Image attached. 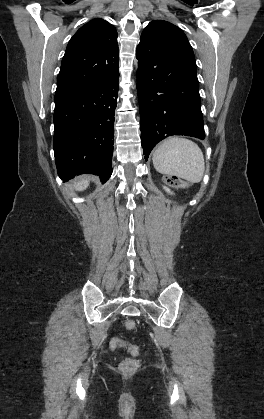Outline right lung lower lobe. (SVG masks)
<instances>
[{"label": "right lung lower lobe", "instance_id": "right-lung-lower-lobe-1", "mask_svg": "<svg viewBox=\"0 0 264 419\" xmlns=\"http://www.w3.org/2000/svg\"><path fill=\"white\" fill-rule=\"evenodd\" d=\"M119 72L105 81L55 94L54 153L66 181L91 173L106 182L111 174L114 115Z\"/></svg>", "mask_w": 264, "mask_h": 419}]
</instances>
